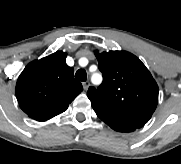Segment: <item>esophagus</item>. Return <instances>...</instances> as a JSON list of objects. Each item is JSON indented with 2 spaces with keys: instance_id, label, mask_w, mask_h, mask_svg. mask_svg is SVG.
Instances as JSON below:
<instances>
[{
  "instance_id": "1",
  "label": "esophagus",
  "mask_w": 181,
  "mask_h": 164,
  "mask_svg": "<svg viewBox=\"0 0 181 164\" xmlns=\"http://www.w3.org/2000/svg\"><path fill=\"white\" fill-rule=\"evenodd\" d=\"M83 84V88L84 90H88L89 86H90V82L89 81H85L82 83Z\"/></svg>"
}]
</instances>
